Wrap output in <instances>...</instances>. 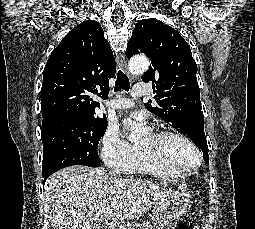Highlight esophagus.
<instances>
[{"label": "esophagus", "mask_w": 255, "mask_h": 229, "mask_svg": "<svg viewBox=\"0 0 255 229\" xmlns=\"http://www.w3.org/2000/svg\"><path fill=\"white\" fill-rule=\"evenodd\" d=\"M117 63H118V66L123 70V72L126 75H128V77L130 79H132L133 77L131 76V74L128 71L127 60H126V58H125V56L123 54L117 55Z\"/></svg>", "instance_id": "1"}]
</instances>
